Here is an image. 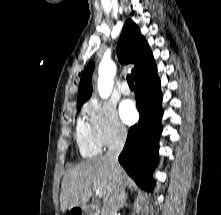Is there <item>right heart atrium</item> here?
Instances as JSON below:
<instances>
[{"label":"right heart atrium","instance_id":"right-heart-atrium-1","mask_svg":"<svg viewBox=\"0 0 221 215\" xmlns=\"http://www.w3.org/2000/svg\"><path fill=\"white\" fill-rule=\"evenodd\" d=\"M84 113L89 119L93 136L100 146H111L126 138L127 130L119 120L113 104L92 99L84 106Z\"/></svg>","mask_w":221,"mask_h":215}]
</instances>
